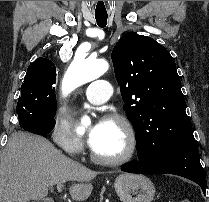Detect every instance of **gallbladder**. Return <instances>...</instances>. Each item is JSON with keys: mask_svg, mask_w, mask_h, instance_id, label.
Returning <instances> with one entry per match:
<instances>
[{"mask_svg": "<svg viewBox=\"0 0 209 202\" xmlns=\"http://www.w3.org/2000/svg\"><path fill=\"white\" fill-rule=\"evenodd\" d=\"M31 202H53V200L51 198H46V199H43V201L34 200V201H31Z\"/></svg>", "mask_w": 209, "mask_h": 202, "instance_id": "1", "label": "gallbladder"}]
</instances>
